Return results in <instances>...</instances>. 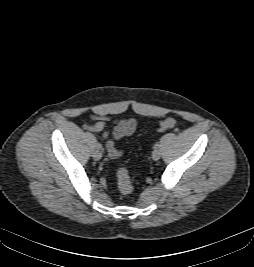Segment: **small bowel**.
I'll return each mask as SVG.
<instances>
[{
    "label": "small bowel",
    "instance_id": "c3829d8e",
    "mask_svg": "<svg viewBox=\"0 0 254 267\" xmlns=\"http://www.w3.org/2000/svg\"><path fill=\"white\" fill-rule=\"evenodd\" d=\"M92 120L96 122L93 125H86L85 128L93 132H102L103 139L106 141L108 155L111 158H118L122 155V150L115 147V141L131 135L137 127L135 119H126L115 121L112 132L106 130V122L111 121L109 117L92 116Z\"/></svg>",
    "mask_w": 254,
    "mask_h": 267
}]
</instances>
